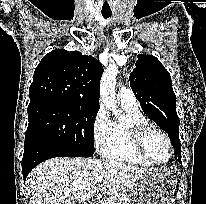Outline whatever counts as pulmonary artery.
Here are the masks:
<instances>
[{
	"mask_svg": "<svg viewBox=\"0 0 206 204\" xmlns=\"http://www.w3.org/2000/svg\"><path fill=\"white\" fill-rule=\"evenodd\" d=\"M118 98L122 104L129 106H137V99L128 87H121L118 90Z\"/></svg>",
	"mask_w": 206,
	"mask_h": 204,
	"instance_id": "pulmonary-artery-1",
	"label": "pulmonary artery"
}]
</instances>
